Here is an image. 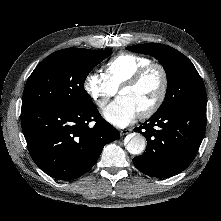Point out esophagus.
I'll return each mask as SVG.
<instances>
[{"mask_svg": "<svg viewBox=\"0 0 221 221\" xmlns=\"http://www.w3.org/2000/svg\"><path fill=\"white\" fill-rule=\"evenodd\" d=\"M131 131H132L131 129H123V130L120 131V134L121 135H127V134L131 133Z\"/></svg>", "mask_w": 221, "mask_h": 221, "instance_id": "1", "label": "esophagus"}]
</instances>
